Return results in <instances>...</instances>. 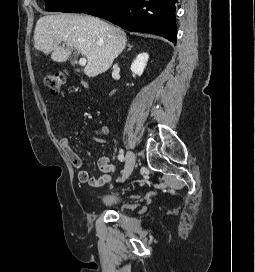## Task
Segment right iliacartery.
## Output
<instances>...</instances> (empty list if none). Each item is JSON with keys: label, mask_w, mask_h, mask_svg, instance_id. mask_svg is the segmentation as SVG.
I'll list each match as a JSON object with an SVG mask.
<instances>
[{"label": "right iliac artery", "mask_w": 255, "mask_h": 272, "mask_svg": "<svg viewBox=\"0 0 255 272\" xmlns=\"http://www.w3.org/2000/svg\"><path fill=\"white\" fill-rule=\"evenodd\" d=\"M118 159L122 162L125 161V157L123 154L118 155Z\"/></svg>", "instance_id": "right-iliac-artery-1"}]
</instances>
